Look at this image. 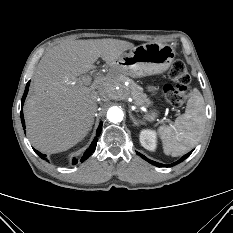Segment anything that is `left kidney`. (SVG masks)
Here are the masks:
<instances>
[{
    "label": "left kidney",
    "mask_w": 233,
    "mask_h": 233,
    "mask_svg": "<svg viewBox=\"0 0 233 233\" xmlns=\"http://www.w3.org/2000/svg\"><path fill=\"white\" fill-rule=\"evenodd\" d=\"M139 137H140V143L145 149L150 151L155 150L157 137L154 131L142 130Z\"/></svg>",
    "instance_id": "obj_1"
}]
</instances>
